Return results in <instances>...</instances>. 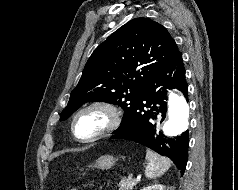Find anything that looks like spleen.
<instances>
[{"instance_id": "obj_1", "label": "spleen", "mask_w": 238, "mask_h": 190, "mask_svg": "<svg viewBox=\"0 0 238 190\" xmlns=\"http://www.w3.org/2000/svg\"><path fill=\"white\" fill-rule=\"evenodd\" d=\"M146 159L148 161L147 167L145 169V176L148 179H155L162 176L171 166V161L159 154L146 150Z\"/></svg>"}]
</instances>
